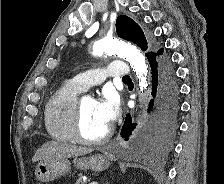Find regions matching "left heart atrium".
Masks as SVG:
<instances>
[{"mask_svg": "<svg viewBox=\"0 0 224 184\" xmlns=\"http://www.w3.org/2000/svg\"><path fill=\"white\" fill-rule=\"evenodd\" d=\"M118 111V102L111 94H105L102 99L96 102V112L98 116L109 126L115 121Z\"/></svg>", "mask_w": 224, "mask_h": 184, "instance_id": "obj_1", "label": "left heart atrium"}]
</instances>
